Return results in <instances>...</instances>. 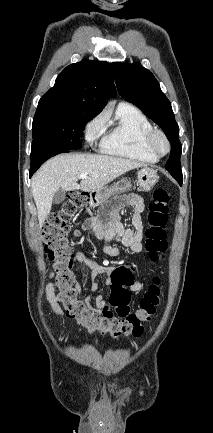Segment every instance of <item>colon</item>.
I'll use <instances>...</instances> for the list:
<instances>
[{
    "mask_svg": "<svg viewBox=\"0 0 213 433\" xmlns=\"http://www.w3.org/2000/svg\"><path fill=\"white\" fill-rule=\"evenodd\" d=\"M169 194L157 188L148 208V227L145 231V247L152 261H158L167 250L165 226L168 221ZM88 205L85 193L73 191L62 208L50 214L43 231L45 251L52 261L56 273L55 283L59 288V300L69 317L86 329L102 334L139 336L144 325L149 323L161 304L159 278L152 283L140 299L135 312L130 311L131 290L134 273L128 266H119L112 273L110 304L113 312H98L78 299L75 279L72 273L74 260L66 235L71 230L74 218Z\"/></svg>",
    "mask_w": 213,
    "mask_h": 433,
    "instance_id": "colon-1",
    "label": "colon"
}]
</instances>
